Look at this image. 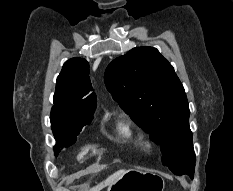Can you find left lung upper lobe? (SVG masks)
Returning a JSON list of instances; mask_svg holds the SVG:
<instances>
[{
	"instance_id": "5c2ea615",
	"label": "left lung upper lobe",
	"mask_w": 233,
	"mask_h": 191,
	"mask_svg": "<svg viewBox=\"0 0 233 191\" xmlns=\"http://www.w3.org/2000/svg\"><path fill=\"white\" fill-rule=\"evenodd\" d=\"M108 91L134 122L160 146L172 172L195 168L189 105L172 65L153 47H137L105 71Z\"/></svg>"
}]
</instances>
